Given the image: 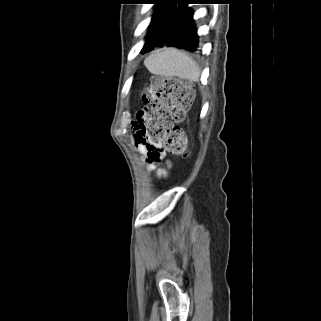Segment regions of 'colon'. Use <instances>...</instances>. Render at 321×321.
Instances as JSON below:
<instances>
[{
  "instance_id": "5ec220e1",
  "label": "colon",
  "mask_w": 321,
  "mask_h": 321,
  "mask_svg": "<svg viewBox=\"0 0 321 321\" xmlns=\"http://www.w3.org/2000/svg\"><path fill=\"white\" fill-rule=\"evenodd\" d=\"M194 97L192 83L167 76H154L145 88L142 100L153 104L147 124L154 143L151 156L165 153L186 155L187 137L179 124L185 119Z\"/></svg>"
}]
</instances>
